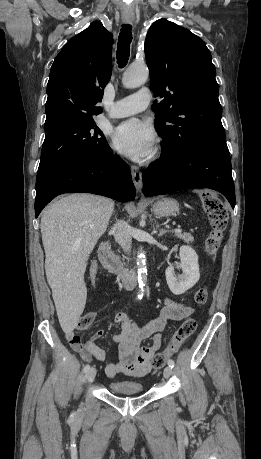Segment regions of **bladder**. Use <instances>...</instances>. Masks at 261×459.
<instances>
[{
    "mask_svg": "<svg viewBox=\"0 0 261 459\" xmlns=\"http://www.w3.org/2000/svg\"><path fill=\"white\" fill-rule=\"evenodd\" d=\"M109 388L116 394H138L144 391L143 384L132 380L113 381L109 384Z\"/></svg>",
    "mask_w": 261,
    "mask_h": 459,
    "instance_id": "31cf9c89",
    "label": "bladder"
}]
</instances>
